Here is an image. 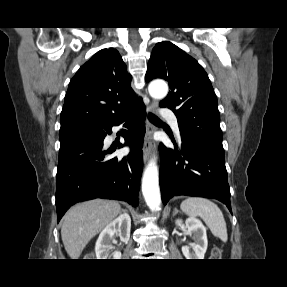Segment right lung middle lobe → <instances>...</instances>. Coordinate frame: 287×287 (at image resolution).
<instances>
[{"label": "right lung middle lobe", "mask_w": 287, "mask_h": 287, "mask_svg": "<svg viewBox=\"0 0 287 287\" xmlns=\"http://www.w3.org/2000/svg\"><path fill=\"white\" fill-rule=\"evenodd\" d=\"M98 126L87 123H74L61 126L59 131L60 142L84 136H95Z\"/></svg>", "instance_id": "right-lung-middle-lobe-1"}]
</instances>
